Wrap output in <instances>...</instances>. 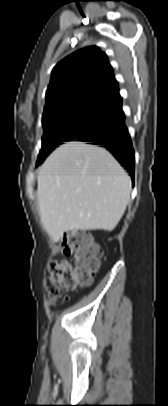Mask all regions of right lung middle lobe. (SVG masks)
<instances>
[{"label":"right lung middle lobe","instance_id":"dd1d6c3e","mask_svg":"<svg viewBox=\"0 0 168 406\" xmlns=\"http://www.w3.org/2000/svg\"><path fill=\"white\" fill-rule=\"evenodd\" d=\"M110 105L83 103L67 106L43 116V138L37 166L63 142L79 139L110 122Z\"/></svg>","mask_w":168,"mask_h":406}]
</instances>
